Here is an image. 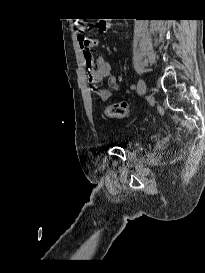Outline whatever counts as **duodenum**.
<instances>
[{
    "label": "duodenum",
    "mask_w": 205,
    "mask_h": 273,
    "mask_svg": "<svg viewBox=\"0 0 205 273\" xmlns=\"http://www.w3.org/2000/svg\"><path fill=\"white\" fill-rule=\"evenodd\" d=\"M101 30H106L108 28V23H104L100 25Z\"/></svg>",
    "instance_id": "duodenum-1"
}]
</instances>
